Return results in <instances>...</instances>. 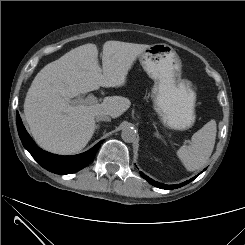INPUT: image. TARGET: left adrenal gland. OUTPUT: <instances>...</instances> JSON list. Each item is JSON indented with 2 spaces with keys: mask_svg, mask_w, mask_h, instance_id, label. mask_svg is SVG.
<instances>
[{
  "mask_svg": "<svg viewBox=\"0 0 245 245\" xmlns=\"http://www.w3.org/2000/svg\"><path fill=\"white\" fill-rule=\"evenodd\" d=\"M153 126H154V128H155V130H156V132L154 133V135H155L157 138H159V139H161L162 141H164L163 136H161V135L159 134V131H158V129H157L155 123H153Z\"/></svg>",
  "mask_w": 245,
  "mask_h": 245,
  "instance_id": "left-adrenal-gland-1",
  "label": "left adrenal gland"
}]
</instances>
